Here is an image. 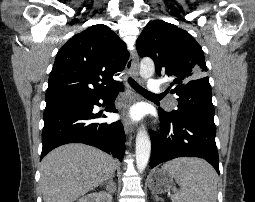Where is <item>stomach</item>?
Wrapping results in <instances>:
<instances>
[{"label": "stomach", "mask_w": 255, "mask_h": 202, "mask_svg": "<svg viewBox=\"0 0 255 202\" xmlns=\"http://www.w3.org/2000/svg\"><path fill=\"white\" fill-rule=\"evenodd\" d=\"M149 188L154 194L169 193L173 190V177L162 169L153 170L148 177Z\"/></svg>", "instance_id": "obj_1"}]
</instances>
